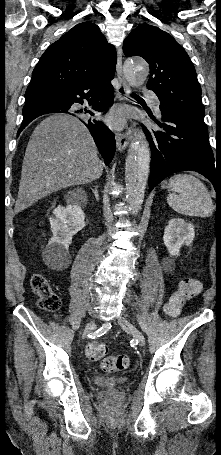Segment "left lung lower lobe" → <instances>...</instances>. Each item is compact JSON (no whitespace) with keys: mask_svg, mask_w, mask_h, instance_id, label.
Masks as SVG:
<instances>
[{"mask_svg":"<svg viewBox=\"0 0 221 455\" xmlns=\"http://www.w3.org/2000/svg\"><path fill=\"white\" fill-rule=\"evenodd\" d=\"M160 110L163 122L147 111L161 128L146 130L151 147L149 191L167 176L185 170L199 172L212 182L216 192L221 190V168L215 167L204 119L174 110Z\"/></svg>","mask_w":221,"mask_h":455,"instance_id":"1","label":"left lung lower lobe"}]
</instances>
